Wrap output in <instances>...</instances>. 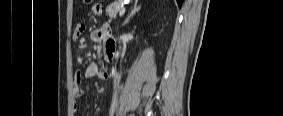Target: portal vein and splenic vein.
Wrapping results in <instances>:
<instances>
[{"mask_svg":"<svg viewBox=\"0 0 283 116\" xmlns=\"http://www.w3.org/2000/svg\"><path fill=\"white\" fill-rule=\"evenodd\" d=\"M125 13V7H122L120 10H119V16H123Z\"/></svg>","mask_w":283,"mask_h":116,"instance_id":"18ae733b","label":"portal vein and splenic vein"}]
</instances>
